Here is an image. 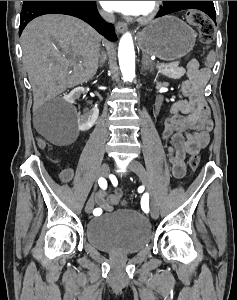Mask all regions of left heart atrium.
I'll return each mask as SVG.
<instances>
[{
    "label": "left heart atrium",
    "mask_w": 237,
    "mask_h": 300,
    "mask_svg": "<svg viewBox=\"0 0 237 300\" xmlns=\"http://www.w3.org/2000/svg\"><path fill=\"white\" fill-rule=\"evenodd\" d=\"M109 12H120L127 15L138 14L145 1H100Z\"/></svg>",
    "instance_id": "39dd6f15"
}]
</instances>
